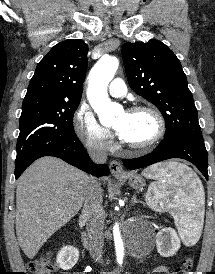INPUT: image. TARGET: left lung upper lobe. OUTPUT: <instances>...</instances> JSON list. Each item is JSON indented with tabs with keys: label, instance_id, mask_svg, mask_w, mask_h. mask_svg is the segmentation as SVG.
I'll use <instances>...</instances> for the list:
<instances>
[{
	"label": "left lung upper lobe",
	"instance_id": "obj_1",
	"mask_svg": "<svg viewBox=\"0 0 215 274\" xmlns=\"http://www.w3.org/2000/svg\"><path fill=\"white\" fill-rule=\"evenodd\" d=\"M128 83L153 103L166 123V137L203 139L197 109L176 55L162 42H127L122 47Z\"/></svg>",
	"mask_w": 215,
	"mask_h": 274
}]
</instances>
